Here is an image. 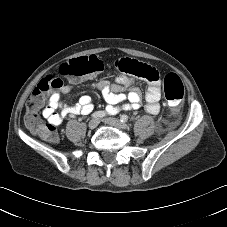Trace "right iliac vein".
Segmentation results:
<instances>
[{"instance_id":"63e3f726","label":"right iliac vein","mask_w":227,"mask_h":227,"mask_svg":"<svg viewBox=\"0 0 227 227\" xmlns=\"http://www.w3.org/2000/svg\"><path fill=\"white\" fill-rule=\"evenodd\" d=\"M99 120L97 118L91 119L90 122L88 123V126L90 129H94L98 126Z\"/></svg>"}]
</instances>
